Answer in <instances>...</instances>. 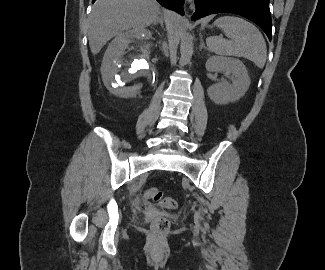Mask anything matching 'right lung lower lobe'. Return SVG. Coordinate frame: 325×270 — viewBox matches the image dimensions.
Segmentation results:
<instances>
[{
    "instance_id": "98d812e1",
    "label": "right lung lower lobe",
    "mask_w": 325,
    "mask_h": 270,
    "mask_svg": "<svg viewBox=\"0 0 325 270\" xmlns=\"http://www.w3.org/2000/svg\"><path fill=\"white\" fill-rule=\"evenodd\" d=\"M96 0H92L94 3ZM162 6L184 15L183 4L185 0H157Z\"/></svg>"
}]
</instances>
